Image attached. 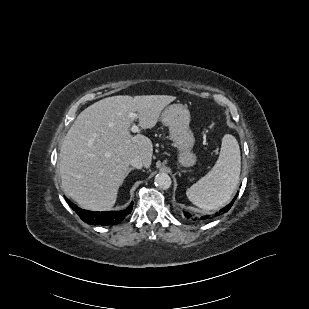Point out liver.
<instances>
[{"mask_svg": "<svg viewBox=\"0 0 309 309\" xmlns=\"http://www.w3.org/2000/svg\"><path fill=\"white\" fill-rule=\"evenodd\" d=\"M176 99L168 95H128L102 99L83 110L67 132L59 155V173L66 195L82 208L110 210L129 171V160L142 157L151 165L153 144L142 135H131L137 112L139 126L153 128L162 110Z\"/></svg>", "mask_w": 309, "mask_h": 309, "instance_id": "6515ba94", "label": "liver"}]
</instances>
